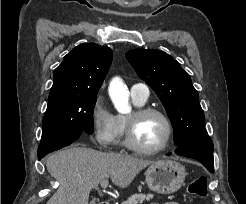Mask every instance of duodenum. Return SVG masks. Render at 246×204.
<instances>
[{
	"label": "duodenum",
	"instance_id": "1",
	"mask_svg": "<svg viewBox=\"0 0 246 204\" xmlns=\"http://www.w3.org/2000/svg\"><path fill=\"white\" fill-rule=\"evenodd\" d=\"M99 204H109L108 202H101V203H99Z\"/></svg>",
	"mask_w": 246,
	"mask_h": 204
}]
</instances>
